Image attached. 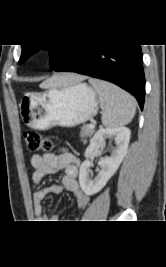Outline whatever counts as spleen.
I'll return each instance as SVG.
<instances>
[{
  "label": "spleen",
  "instance_id": "3e777b00",
  "mask_svg": "<svg viewBox=\"0 0 166 267\" xmlns=\"http://www.w3.org/2000/svg\"><path fill=\"white\" fill-rule=\"evenodd\" d=\"M89 83L98 93L105 127H122L131 122L136 112V101L131 95L106 81L90 79Z\"/></svg>",
  "mask_w": 166,
  "mask_h": 267
}]
</instances>
